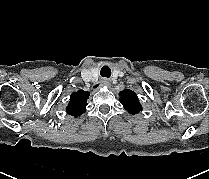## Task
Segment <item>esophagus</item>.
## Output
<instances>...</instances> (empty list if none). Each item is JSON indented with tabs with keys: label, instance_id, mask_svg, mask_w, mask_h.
Segmentation results:
<instances>
[{
	"label": "esophagus",
	"instance_id": "34e87169",
	"mask_svg": "<svg viewBox=\"0 0 209 179\" xmlns=\"http://www.w3.org/2000/svg\"><path fill=\"white\" fill-rule=\"evenodd\" d=\"M110 84V81L106 78L102 79L100 82L101 86H108Z\"/></svg>",
	"mask_w": 209,
	"mask_h": 179
}]
</instances>
